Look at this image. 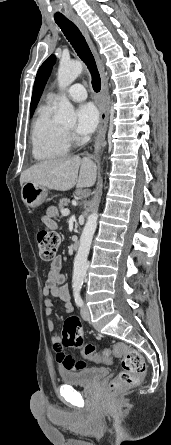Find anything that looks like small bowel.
I'll return each mask as SVG.
<instances>
[{"label":"small bowel","instance_id":"1","mask_svg":"<svg viewBox=\"0 0 171 445\" xmlns=\"http://www.w3.org/2000/svg\"><path fill=\"white\" fill-rule=\"evenodd\" d=\"M44 222L50 229L57 228V224L52 219L50 212H47ZM61 268L62 259L61 257H56L50 264L48 277L43 286V293L45 295L44 312L46 315H51L53 312V298H57L61 301L66 313H71L73 311L69 287L65 284V276L61 273ZM47 328L50 332H52L51 342L55 352L56 362L60 368L63 371H74L84 368L83 362L76 361L71 355L63 351L60 336L57 332L56 323L54 320L49 319L47 321Z\"/></svg>","mask_w":171,"mask_h":445}]
</instances>
